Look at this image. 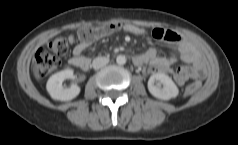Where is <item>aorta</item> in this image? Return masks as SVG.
Here are the masks:
<instances>
[{"instance_id": "aorta-1", "label": "aorta", "mask_w": 238, "mask_h": 145, "mask_svg": "<svg viewBox=\"0 0 238 145\" xmlns=\"http://www.w3.org/2000/svg\"><path fill=\"white\" fill-rule=\"evenodd\" d=\"M116 62L119 65H124L126 63V57L124 55H119L116 58Z\"/></svg>"}]
</instances>
